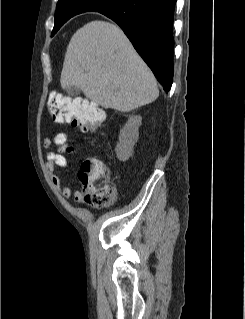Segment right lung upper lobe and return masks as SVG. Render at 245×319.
<instances>
[{
  "label": "right lung upper lobe",
  "instance_id": "1",
  "mask_svg": "<svg viewBox=\"0 0 245 319\" xmlns=\"http://www.w3.org/2000/svg\"><path fill=\"white\" fill-rule=\"evenodd\" d=\"M59 1H63V0H59ZM65 1L70 2V4L67 6L68 13H67V16L60 23H58L59 26H62L68 19H70L71 17L79 13L87 12L81 6L83 0H65Z\"/></svg>",
  "mask_w": 245,
  "mask_h": 319
}]
</instances>
